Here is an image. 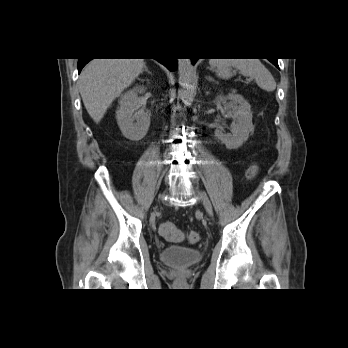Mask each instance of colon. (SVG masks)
Returning a JSON list of instances; mask_svg holds the SVG:
<instances>
[{"instance_id": "1", "label": "colon", "mask_w": 348, "mask_h": 348, "mask_svg": "<svg viewBox=\"0 0 348 348\" xmlns=\"http://www.w3.org/2000/svg\"><path fill=\"white\" fill-rule=\"evenodd\" d=\"M258 173V167L256 165L251 166L248 169L247 176L254 178ZM159 234L168 241H181L187 238L191 244H196L199 241V234L196 231H189L186 235L183 231L179 230L172 222H163L159 225Z\"/></svg>"}]
</instances>
